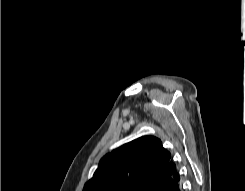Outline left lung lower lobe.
<instances>
[{
  "label": "left lung lower lobe",
  "mask_w": 245,
  "mask_h": 191,
  "mask_svg": "<svg viewBox=\"0 0 245 191\" xmlns=\"http://www.w3.org/2000/svg\"><path fill=\"white\" fill-rule=\"evenodd\" d=\"M158 191H181V179L177 168Z\"/></svg>",
  "instance_id": "1"
}]
</instances>
